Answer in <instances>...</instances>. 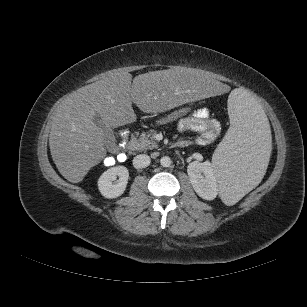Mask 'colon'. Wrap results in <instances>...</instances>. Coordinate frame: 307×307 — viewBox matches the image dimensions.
Masks as SVG:
<instances>
[{"label": "colon", "instance_id": "obj_1", "mask_svg": "<svg viewBox=\"0 0 307 307\" xmlns=\"http://www.w3.org/2000/svg\"><path fill=\"white\" fill-rule=\"evenodd\" d=\"M127 131L126 130H121L120 131V141L119 144L117 145L118 148V155H111L108 156L104 159V164L107 166H112L116 164L119 161V155H124L125 154V147H126V142H127Z\"/></svg>", "mask_w": 307, "mask_h": 307}]
</instances>
